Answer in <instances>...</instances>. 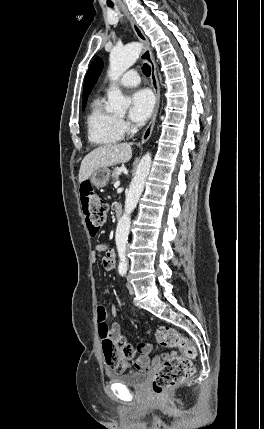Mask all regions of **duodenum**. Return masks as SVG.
<instances>
[{
	"label": "duodenum",
	"instance_id": "obj_1",
	"mask_svg": "<svg viewBox=\"0 0 264 429\" xmlns=\"http://www.w3.org/2000/svg\"><path fill=\"white\" fill-rule=\"evenodd\" d=\"M115 215L117 218L122 216V207L120 205L115 206Z\"/></svg>",
	"mask_w": 264,
	"mask_h": 429
}]
</instances>
